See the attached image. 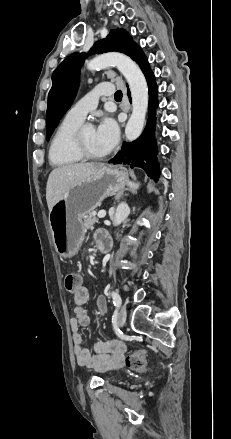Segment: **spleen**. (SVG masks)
Segmentation results:
<instances>
[{
    "mask_svg": "<svg viewBox=\"0 0 231 439\" xmlns=\"http://www.w3.org/2000/svg\"><path fill=\"white\" fill-rule=\"evenodd\" d=\"M139 183H134L132 181H128V186L132 189V190H136L139 188Z\"/></svg>",
    "mask_w": 231,
    "mask_h": 439,
    "instance_id": "obj_1",
    "label": "spleen"
}]
</instances>
